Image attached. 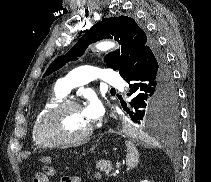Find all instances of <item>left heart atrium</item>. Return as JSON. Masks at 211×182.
Returning a JSON list of instances; mask_svg holds the SVG:
<instances>
[{"instance_id": "39dd6f15", "label": "left heart atrium", "mask_w": 211, "mask_h": 182, "mask_svg": "<svg viewBox=\"0 0 211 182\" xmlns=\"http://www.w3.org/2000/svg\"><path fill=\"white\" fill-rule=\"evenodd\" d=\"M86 117L90 122L98 119L102 114V106L101 103L96 98H91L87 104V106L83 109Z\"/></svg>"}]
</instances>
